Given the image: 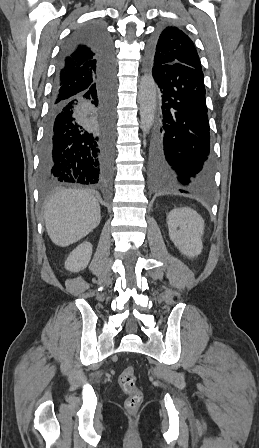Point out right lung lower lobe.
<instances>
[{
  "instance_id": "98d812e1",
  "label": "right lung lower lobe",
  "mask_w": 259,
  "mask_h": 448,
  "mask_svg": "<svg viewBox=\"0 0 259 448\" xmlns=\"http://www.w3.org/2000/svg\"><path fill=\"white\" fill-rule=\"evenodd\" d=\"M90 49L97 66L92 89L59 96L58 74L79 47ZM115 139V65L112 39L100 24L81 27L62 47L40 146L43 184H102L109 181Z\"/></svg>"
}]
</instances>
